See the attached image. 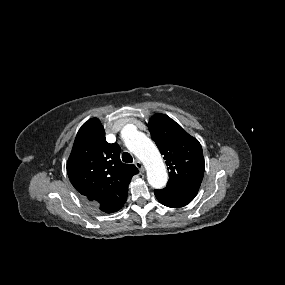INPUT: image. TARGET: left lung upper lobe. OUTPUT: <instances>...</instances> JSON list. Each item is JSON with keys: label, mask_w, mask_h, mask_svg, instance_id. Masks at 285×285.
Returning a JSON list of instances; mask_svg holds the SVG:
<instances>
[{"label": "left lung upper lobe", "mask_w": 285, "mask_h": 285, "mask_svg": "<svg viewBox=\"0 0 285 285\" xmlns=\"http://www.w3.org/2000/svg\"><path fill=\"white\" fill-rule=\"evenodd\" d=\"M147 126L170 171L167 186L198 192L205 166L199 141L163 114L154 115Z\"/></svg>", "instance_id": "left-lung-upper-lobe-1"}]
</instances>
